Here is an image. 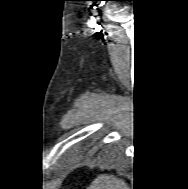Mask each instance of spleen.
<instances>
[{
	"label": "spleen",
	"mask_w": 188,
	"mask_h": 189,
	"mask_svg": "<svg viewBox=\"0 0 188 189\" xmlns=\"http://www.w3.org/2000/svg\"><path fill=\"white\" fill-rule=\"evenodd\" d=\"M88 189H127L122 180L114 176L99 175Z\"/></svg>",
	"instance_id": "spleen-1"
}]
</instances>
